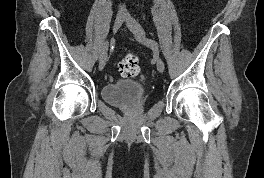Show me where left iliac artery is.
<instances>
[{
  "instance_id": "obj_1",
  "label": "left iliac artery",
  "mask_w": 264,
  "mask_h": 178,
  "mask_svg": "<svg viewBox=\"0 0 264 178\" xmlns=\"http://www.w3.org/2000/svg\"><path fill=\"white\" fill-rule=\"evenodd\" d=\"M140 41L143 42L145 45L153 48V49H157L158 48V43L156 41L152 40V39L143 38Z\"/></svg>"
}]
</instances>
